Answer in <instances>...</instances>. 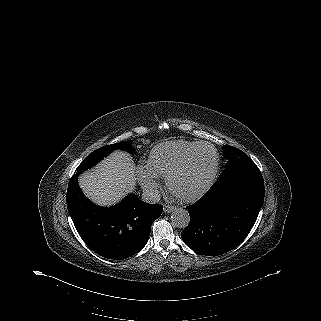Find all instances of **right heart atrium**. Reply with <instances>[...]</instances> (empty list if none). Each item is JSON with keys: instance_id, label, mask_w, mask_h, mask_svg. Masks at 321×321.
I'll return each instance as SVG.
<instances>
[{"instance_id": "1", "label": "right heart atrium", "mask_w": 321, "mask_h": 321, "mask_svg": "<svg viewBox=\"0 0 321 321\" xmlns=\"http://www.w3.org/2000/svg\"><path fill=\"white\" fill-rule=\"evenodd\" d=\"M137 175L141 186L149 193H155L158 189L159 183L157 177L151 173L147 163H140L137 166Z\"/></svg>"}]
</instances>
